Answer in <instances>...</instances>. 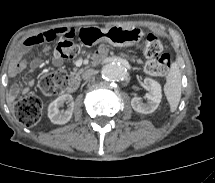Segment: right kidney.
<instances>
[{"label":"right kidney","instance_id":"1","mask_svg":"<svg viewBox=\"0 0 215 183\" xmlns=\"http://www.w3.org/2000/svg\"><path fill=\"white\" fill-rule=\"evenodd\" d=\"M67 104V109L64 112H60L59 108L63 104ZM74 103L70 94H64L52 101L48 106V117L54 124L63 125L66 124L73 114Z\"/></svg>","mask_w":215,"mask_h":183}]
</instances>
